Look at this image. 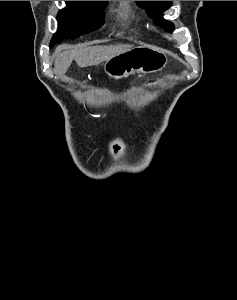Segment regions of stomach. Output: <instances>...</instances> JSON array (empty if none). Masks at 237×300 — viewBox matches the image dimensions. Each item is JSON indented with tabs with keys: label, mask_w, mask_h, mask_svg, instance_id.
I'll return each mask as SVG.
<instances>
[{
	"label": "stomach",
	"mask_w": 237,
	"mask_h": 300,
	"mask_svg": "<svg viewBox=\"0 0 237 300\" xmlns=\"http://www.w3.org/2000/svg\"><path fill=\"white\" fill-rule=\"evenodd\" d=\"M168 63L167 55L157 47H133L126 53H120L108 59L103 65L104 73L112 79H123L132 73H157Z\"/></svg>",
	"instance_id": "0dacf381"
}]
</instances>
